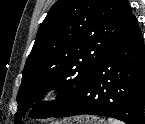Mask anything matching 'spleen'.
Returning <instances> with one entry per match:
<instances>
[{"mask_svg": "<svg viewBox=\"0 0 145 124\" xmlns=\"http://www.w3.org/2000/svg\"><path fill=\"white\" fill-rule=\"evenodd\" d=\"M108 122H109V124H123L122 122L115 120V119H109Z\"/></svg>", "mask_w": 145, "mask_h": 124, "instance_id": "obj_1", "label": "spleen"}]
</instances>
